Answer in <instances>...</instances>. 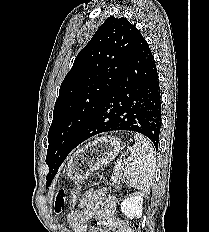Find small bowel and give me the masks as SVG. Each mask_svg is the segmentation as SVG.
<instances>
[{"instance_id": "obj_1", "label": "small bowel", "mask_w": 209, "mask_h": 232, "mask_svg": "<svg viewBox=\"0 0 209 232\" xmlns=\"http://www.w3.org/2000/svg\"><path fill=\"white\" fill-rule=\"evenodd\" d=\"M115 198L107 195L103 188H91L82 197L78 207L68 214V221L74 232H102V227L111 232H129L128 226L114 217ZM94 220L96 225L88 227V221Z\"/></svg>"}]
</instances>
